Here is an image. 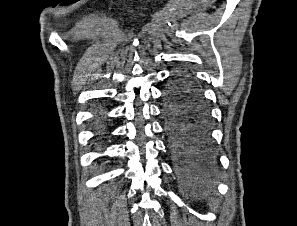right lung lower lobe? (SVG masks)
Segmentation results:
<instances>
[{
    "instance_id": "obj_1",
    "label": "right lung lower lobe",
    "mask_w": 297,
    "mask_h": 226,
    "mask_svg": "<svg viewBox=\"0 0 297 226\" xmlns=\"http://www.w3.org/2000/svg\"><path fill=\"white\" fill-rule=\"evenodd\" d=\"M96 117L94 120V129L99 133L97 136L99 138L98 141L103 140L106 136L107 131V121L105 117V108L103 105H98L95 108Z\"/></svg>"
}]
</instances>
